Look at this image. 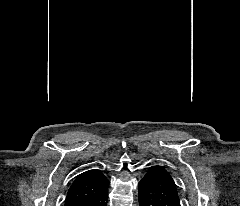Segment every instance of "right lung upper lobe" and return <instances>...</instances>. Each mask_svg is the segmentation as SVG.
Here are the masks:
<instances>
[{"label":"right lung upper lobe","instance_id":"1","mask_svg":"<svg viewBox=\"0 0 240 206\" xmlns=\"http://www.w3.org/2000/svg\"><path fill=\"white\" fill-rule=\"evenodd\" d=\"M109 182L98 169H91L78 175L71 185L64 206H77L79 203L90 199L105 188Z\"/></svg>","mask_w":240,"mask_h":206}]
</instances>
